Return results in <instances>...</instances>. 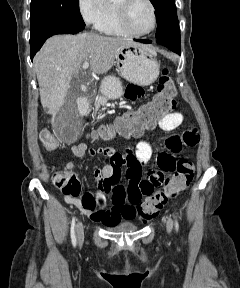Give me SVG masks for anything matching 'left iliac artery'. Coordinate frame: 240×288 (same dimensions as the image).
<instances>
[{
    "instance_id": "obj_1",
    "label": "left iliac artery",
    "mask_w": 240,
    "mask_h": 288,
    "mask_svg": "<svg viewBox=\"0 0 240 288\" xmlns=\"http://www.w3.org/2000/svg\"><path fill=\"white\" fill-rule=\"evenodd\" d=\"M175 229H176V231H178V229H179V224H178V222L176 220V217H175Z\"/></svg>"
}]
</instances>
